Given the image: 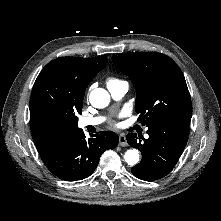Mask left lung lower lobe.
<instances>
[{
	"label": "left lung lower lobe",
	"mask_w": 221,
	"mask_h": 221,
	"mask_svg": "<svg viewBox=\"0 0 221 221\" xmlns=\"http://www.w3.org/2000/svg\"><path fill=\"white\" fill-rule=\"evenodd\" d=\"M147 127L148 139L136 133H129L126 139L142 154L141 162L131 169L132 174L145 181H154L169 174L178 162L187 143L189 124L161 121Z\"/></svg>",
	"instance_id": "1"
}]
</instances>
